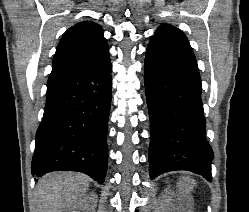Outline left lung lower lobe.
I'll return each mask as SVG.
<instances>
[{"label":"left lung lower lobe","mask_w":249,"mask_h":212,"mask_svg":"<svg viewBox=\"0 0 249 212\" xmlns=\"http://www.w3.org/2000/svg\"><path fill=\"white\" fill-rule=\"evenodd\" d=\"M144 83L150 118V177L188 170L211 180L201 78L195 58L160 44L148 46Z\"/></svg>","instance_id":"left-lung-lower-lobe-1"}]
</instances>
